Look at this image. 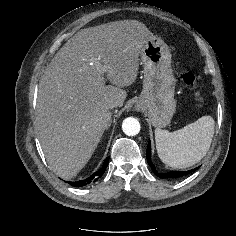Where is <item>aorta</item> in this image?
I'll use <instances>...</instances> for the list:
<instances>
[{"label": "aorta", "mask_w": 236, "mask_h": 236, "mask_svg": "<svg viewBox=\"0 0 236 236\" xmlns=\"http://www.w3.org/2000/svg\"><path fill=\"white\" fill-rule=\"evenodd\" d=\"M122 130L128 136H135L140 131V123L136 118L128 117L122 123Z\"/></svg>", "instance_id": "762f6f07"}]
</instances>
